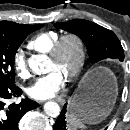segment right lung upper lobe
Returning <instances> with one entry per match:
<instances>
[{
    "label": "right lung upper lobe",
    "mask_w": 130,
    "mask_h": 130,
    "mask_svg": "<svg viewBox=\"0 0 130 130\" xmlns=\"http://www.w3.org/2000/svg\"><path fill=\"white\" fill-rule=\"evenodd\" d=\"M25 24H17L11 21H0V31L4 32H17L21 30Z\"/></svg>",
    "instance_id": "obj_1"
}]
</instances>
